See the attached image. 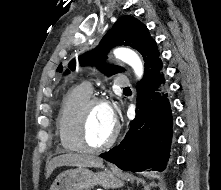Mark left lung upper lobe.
<instances>
[{"label":"left lung upper lobe","instance_id":"obj_1","mask_svg":"<svg viewBox=\"0 0 221 190\" xmlns=\"http://www.w3.org/2000/svg\"><path fill=\"white\" fill-rule=\"evenodd\" d=\"M118 45H128L137 49L145 61V71L151 68V66L159 59V51L157 44L149 34L147 27L138 19L132 16L120 17L114 24L113 28L107 32L105 37L100 42V45L93 51L84 54L80 58L81 64L96 63L99 68H103L100 64L107 51ZM76 62L72 61L69 64V68L74 70ZM121 67L107 66L105 67V73L107 75L122 72ZM69 73V70L65 74Z\"/></svg>","mask_w":221,"mask_h":190}]
</instances>
